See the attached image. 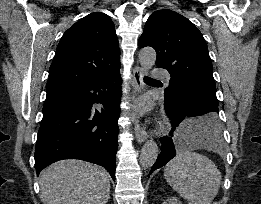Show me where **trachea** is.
Segmentation results:
<instances>
[{"mask_svg": "<svg viewBox=\"0 0 261 204\" xmlns=\"http://www.w3.org/2000/svg\"><path fill=\"white\" fill-rule=\"evenodd\" d=\"M144 81L145 82H152V81H156L155 79H152V78H150V77H145L144 78Z\"/></svg>", "mask_w": 261, "mask_h": 204, "instance_id": "1", "label": "trachea"}]
</instances>
